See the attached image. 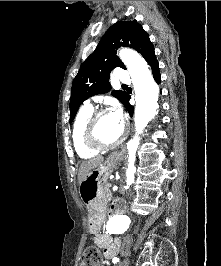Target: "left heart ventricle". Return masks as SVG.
<instances>
[{"label": "left heart ventricle", "mask_w": 221, "mask_h": 266, "mask_svg": "<svg viewBox=\"0 0 221 266\" xmlns=\"http://www.w3.org/2000/svg\"><path fill=\"white\" fill-rule=\"evenodd\" d=\"M123 129V125L117 123L109 113L99 117L97 122V136L105 143H110L118 139Z\"/></svg>", "instance_id": "1"}]
</instances>
